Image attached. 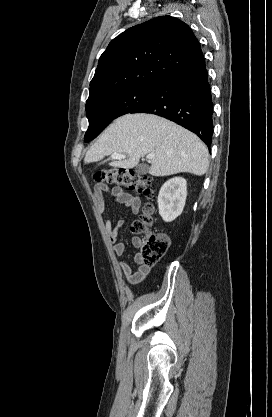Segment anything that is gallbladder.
Returning a JSON list of instances; mask_svg holds the SVG:
<instances>
[{
	"mask_svg": "<svg viewBox=\"0 0 272 417\" xmlns=\"http://www.w3.org/2000/svg\"><path fill=\"white\" fill-rule=\"evenodd\" d=\"M148 171H149V167H148V165H146V164H139V165L136 167V173H137V174H140V175H145V174H147V173H148Z\"/></svg>",
	"mask_w": 272,
	"mask_h": 417,
	"instance_id": "bac80fb5",
	"label": "gallbladder"
}]
</instances>
